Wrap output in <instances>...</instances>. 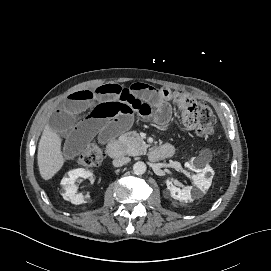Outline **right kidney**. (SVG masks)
<instances>
[{
  "label": "right kidney",
  "instance_id": "ca27d5eb",
  "mask_svg": "<svg viewBox=\"0 0 271 271\" xmlns=\"http://www.w3.org/2000/svg\"><path fill=\"white\" fill-rule=\"evenodd\" d=\"M67 174L68 176L63 177V179L61 180L63 198L75 205L86 203L89 195L84 196L82 193H77V186L75 185V180L79 177L84 179L89 178L93 175L92 172L83 168H77L70 170Z\"/></svg>",
  "mask_w": 271,
  "mask_h": 271
}]
</instances>
